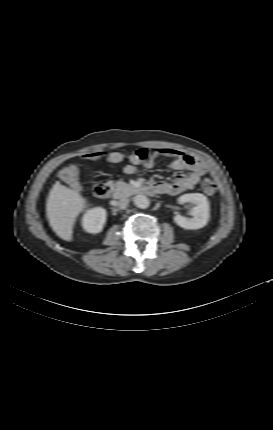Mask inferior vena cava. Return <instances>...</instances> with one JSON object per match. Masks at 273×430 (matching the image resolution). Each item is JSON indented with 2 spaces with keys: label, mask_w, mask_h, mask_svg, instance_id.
<instances>
[{
  "label": "inferior vena cava",
  "mask_w": 273,
  "mask_h": 430,
  "mask_svg": "<svg viewBox=\"0 0 273 430\" xmlns=\"http://www.w3.org/2000/svg\"><path fill=\"white\" fill-rule=\"evenodd\" d=\"M117 204H118V206H119L121 209H125V208L128 206V204H129V199H128V198H126V197H122V198H120V200L117 202Z\"/></svg>",
  "instance_id": "inferior-vena-cava-1"
}]
</instances>
